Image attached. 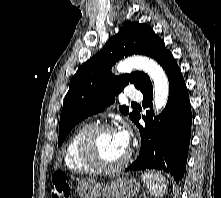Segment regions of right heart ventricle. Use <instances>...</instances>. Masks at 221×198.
<instances>
[{"mask_svg": "<svg viewBox=\"0 0 221 198\" xmlns=\"http://www.w3.org/2000/svg\"><path fill=\"white\" fill-rule=\"evenodd\" d=\"M92 126L84 124L78 127L69 137L64 148V163L66 167L74 172L92 173L95 170L87 165L81 156V142L86 132Z\"/></svg>", "mask_w": 221, "mask_h": 198, "instance_id": "obj_1", "label": "right heart ventricle"}]
</instances>
